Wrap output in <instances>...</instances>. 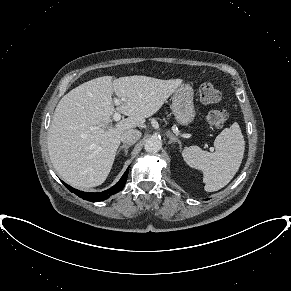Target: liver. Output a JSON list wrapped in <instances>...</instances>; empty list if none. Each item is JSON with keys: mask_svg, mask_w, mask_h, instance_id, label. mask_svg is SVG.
I'll use <instances>...</instances> for the list:
<instances>
[{"mask_svg": "<svg viewBox=\"0 0 291 291\" xmlns=\"http://www.w3.org/2000/svg\"><path fill=\"white\" fill-rule=\"evenodd\" d=\"M180 85L181 79L104 76L71 90L59 101L48 133V152L58 175L75 187L101 185L112 168L121 134L142 126ZM113 93L124 99L117 108ZM115 111L128 117L112 126Z\"/></svg>", "mask_w": 291, "mask_h": 291, "instance_id": "obj_1", "label": "liver"}]
</instances>
